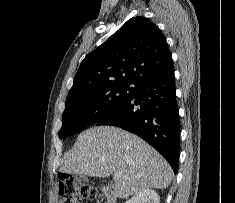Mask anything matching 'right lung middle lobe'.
Here are the masks:
<instances>
[{"instance_id": "1", "label": "right lung middle lobe", "mask_w": 235, "mask_h": 203, "mask_svg": "<svg viewBox=\"0 0 235 203\" xmlns=\"http://www.w3.org/2000/svg\"><path fill=\"white\" fill-rule=\"evenodd\" d=\"M137 86V82L121 79L92 84L69 93L59 138L76 134L106 117L131 97Z\"/></svg>"}]
</instances>
